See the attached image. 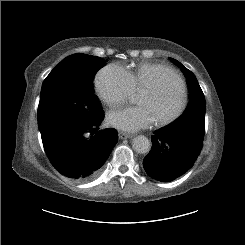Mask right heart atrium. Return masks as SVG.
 I'll return each mask as SVG.
<instances>
[{
    "instance_id": "right-heart-atrium-1",
    "label": "right heart atrium",
    "mask_w": 245,
    "mask_h": 245,
    "mask_svg": "<svg viewBox=\"0 0 245 245\" xmlns=\"http://www.w3.org/2000/svg\"><path fill=\"white\" fill-rule=\"evenodd\" d=\"M94 87L101 101L110 106L124 102L134 92L127 71L118 64L99 69L94 77Z\"/></svg>"
}]
</instances>
